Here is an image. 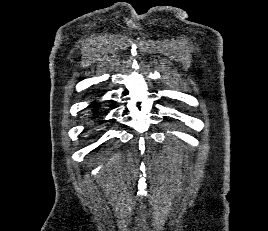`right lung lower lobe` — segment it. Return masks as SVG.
I'll use <instances>...</instances> for the list:
<instances>
[{
    "label": "right lung lower lobe",
    "instance_id": "obj_1",
    "mask_svg": "<svg viewBox=\"0 0 268 231\" xmlns=\"http://www.w3.org/2000/svg\"><path fill=\"white\" fill-rule=\"evenodd\" d=\"M97 103H93V112H94V114L95 113H97L98 111H97Z\"/></svg>",
    "mask_w": 268,
    "mask_h": 231
}]
</instances>
